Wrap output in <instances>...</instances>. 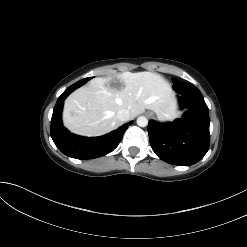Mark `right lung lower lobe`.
<instances>
[{
    "instance_id": "right-lung-lower-lobe-1",
    "label": "right lung lower lobe",
    "mask_w": 247,
    "mask_h": 247,
    "mask_svg": "<svg viewBox=\"0 0 247 247\" xmlns=\"http://www.w3.org/2000/svg\"><path fill=\"white\" fill-rule=\"evenodd\" d=\"M85 84L82 80L68 87L58 98L51 119V137L58 149L76 159H93L108 154L116 148L132 122L101 137H81L70 133L62 124L61 112L65 98L76 88Z\"/></svg>"
}]
</instances>
